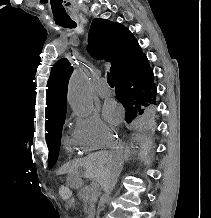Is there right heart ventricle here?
I'll return each mask as SVG.
<instances>
[{"mask_svg":"<svg viewBox=\"0 0 211 218\" xmlns=\"http://www.w3.org/2000/svg\"><path fill=\"white\" fill-rule=\"evenodd\" d=\"M64 144L66 147V154H83V152L93 150L80 145L73 136H67L64 140Z\"/></svg>","mask_w":211,"mask_h":218,"instance_id":"obj_1","label":"right heart ventricle"}]
</instances>
